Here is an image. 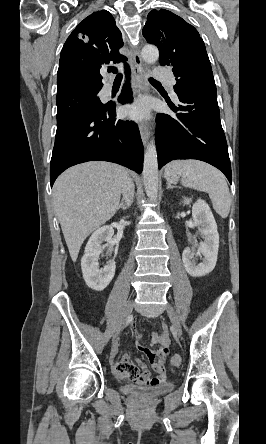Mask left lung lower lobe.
Listing matches in <instances>:
<instances>
[{
	"instance_id": "left-lung-lower-lobe-1",
	"label": "left lung lower lobe",
	"mask_w": 266,
	"mask_h": 444,
	"mask_svg": "<svg viewBox=\"0 0 266 444\" xmlns=\"http://www.w3.org/2000/svg\"><path fill=\"white\" fill-rule=\"evenodd\" d=\"M176 117L157 115L156 147L159 169L175 159H197L221 170L232 182L227 142L220 121L217 93L177 94Z\"/></svg>"
}]
</instances>
